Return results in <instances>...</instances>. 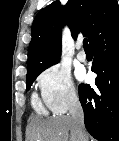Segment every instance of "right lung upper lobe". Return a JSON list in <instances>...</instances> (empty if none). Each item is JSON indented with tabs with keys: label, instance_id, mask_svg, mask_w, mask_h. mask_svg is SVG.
Instances as JSON below:
<instances>
[{
	"label": "right lung upper lobe",
	"instance_id": "right-lung-upper-lobe-1",
	"mask_svg": "<svg viewBox=\"0 0 119 141\" xmlns=\"http://www.w3.org/2000/svg\"><path fill=\"white\" fill-rule=\"evenodd\" d=\"M117 15L116 0H68L65 6L55 1L41 9L31 28L27 75L42 72L59 62L62 26H69L74 39L82 31L91 43L97 31Z\"/></svg>",
	"mask_w": 119,
	"mask_h": 141
}]
</instances>
